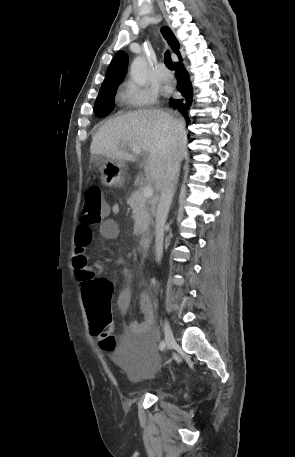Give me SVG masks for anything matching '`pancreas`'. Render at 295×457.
Here are the masks:
<instances>
[{
	"label": "pancreas",
	"mask_w": 295,
	"mask_h": 457,
	"mask_svg": "<svg viewBox=\"0 0 295 457\" xmlns=\"http://www.w3.org/2000/svg\"><path fill=\"white\" fill-rule=\"evenodd\" d=\"M127 203L133 210L134 234L142 235L148 233L153 209L149 208V201L143 196L142 190L134 191L127 199Z\"/></svg>",
	"instance_id": "obj_1"
}]
</instances>
